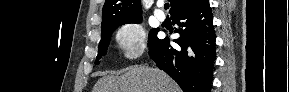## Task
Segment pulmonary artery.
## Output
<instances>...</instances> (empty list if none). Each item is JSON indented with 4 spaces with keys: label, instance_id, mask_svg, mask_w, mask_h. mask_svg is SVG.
<instances>
[{
    "label": "pulmonary artery",
    "instance_id": "1",
    "mask_svg": "<svg viewBox=\"0 0 289 92\" xmlns=\"http://www.w3.org/2000/svg\"><path fill=\"white\" fill-rule=\"evenodd\" d=\"M154 15L161 22L165 20V14L160 9L155 10Z\"/></svg>",
    "mask_w": 289,
    "mask_h": 92
}]
</instances>
